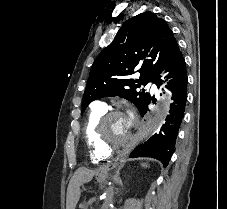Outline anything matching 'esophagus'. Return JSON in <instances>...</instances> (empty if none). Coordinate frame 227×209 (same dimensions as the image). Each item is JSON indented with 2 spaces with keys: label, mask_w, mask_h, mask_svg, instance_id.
<instances>
[{
  "label": "esophagus",
  "mask_w": 227,
  "mask_h": 209,
  "mask_svg": "<svg viewBox=\"0 0 227 209\" xmlns=\"http://www.w3.org/2000/svg\"><path fill=\"white\" fill-rule=\"evenodd\" d=\"M152 117V112H145V116H143V120H139V125H140V132L144 133L143 137H140L137 141L134 142V144L131 146L133 149L136 146H140L141 142H145L146 138L148 137L147 132V125L149 124V121H151ZM131 151L128 149L127 151H118L117 152V157L114 160V162H111V164H108L107 166H103V169L100 170L98 173L99 177H104L105 174H108L109 171H112V169H117L120 167V164H124L125 161L127 160V157L129 156V153Z\"/></svg>",
  "instance_id": "1"
}]
</instances>
